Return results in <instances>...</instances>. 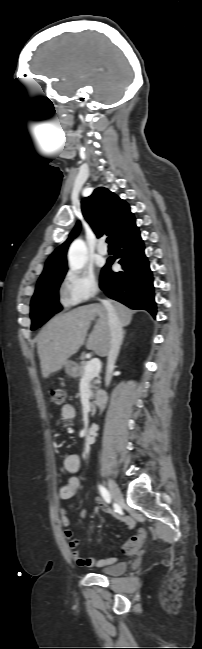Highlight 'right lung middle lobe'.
I'll use <instances>...</instances> for the list:
<instances>
[{"label":"right lung middle lobe","mask_w":202,"mask_h":649,"mask_svg":"<svg viewBox=\"0 0 202 649\" xmlns=\"http://www.w3.org/2000/svg\"><path fill=\"white\" fill-rule=\"evenodd\" d=\"M66 271L40 277L31 300V330L43 325L55 313L61 311L58 302V289Z\"/></svg>","instance_id":"dd1d6c3e"}]
</instances>
